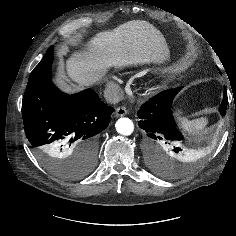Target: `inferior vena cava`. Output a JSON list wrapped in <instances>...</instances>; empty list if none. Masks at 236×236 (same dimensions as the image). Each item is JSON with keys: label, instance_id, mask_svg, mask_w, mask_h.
<instances>
[{"label": "inferior vena cava", "instance_id": "inferior-vena-cava-1", "mask_svg": "<svg viewBox=\"0 0 236 236\" xmlns=\"http://www.w3.org/2000/svg\"><path fill=\"white\" fill-rule=\"evenodd\" d=\"M104 97L108 103L116 104L122 100L123 91L117 84H114L104 91Z\"/></svg>", "mask_w": 236, "mask_h": 236}]
</instances>
